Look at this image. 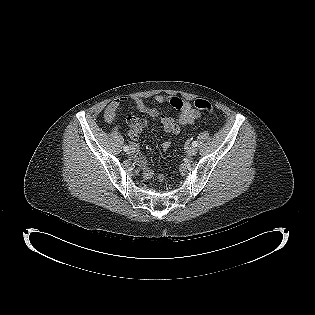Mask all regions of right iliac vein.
<instances>
[{"instance_id": "right-iliac-vein-1", "label": "right iliac vein", "mask_w": 315, "mask_h": 315, "mask_svg": "<svg viewBox=\"0 0 315 315\" xmlns=\"http://www.w3.org/2000/svg\"><path fill=\"white\" fill-rule=\"evenodd\" d=\"M129 154H134L135 153V149L132 147L131 149H129V152H128Z\"/></svg>"}]
</instances>
